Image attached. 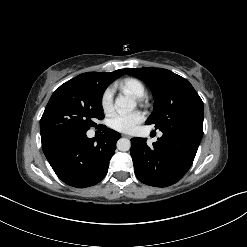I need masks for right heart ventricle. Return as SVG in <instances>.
<instances>
[{
	"mask_svg": "<svg viewBox=\"0 0 247 247\" xmlns=\"http://www.w3.org/2000/svg\"><path fill=\"white\" fill-rule=\"evenodd\" d=\"M119 87L124 92L136 97L142 98L145 95V86L136 78H126L120 84Z\"/></svg>",
	"mask_w": 247,
	"mask_h": 247,
	"instance_id": "e07e8e85",
	"label": "right heart ventricle"
}]
</instances>
